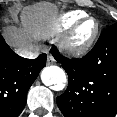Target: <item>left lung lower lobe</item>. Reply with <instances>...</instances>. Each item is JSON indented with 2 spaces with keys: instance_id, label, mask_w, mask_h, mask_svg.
<instances>
[{
  "instance_id": "1",
  "label": "left lung lower lobe",
  "mask_w": 117,
  "mask_h": 117,
  "mask_svg": "<svg viewBox=\"0 0 117 117\" xmlns=\"http://www.w3.org/2000/svg\"><path fill=\"white\" fill-rule=\"evenodd\" d=\"M53 56L69 76L57 97L65 117H114L117 114V23L104 30L93 49L80 59Z\"/></svg>"
}]
</instances>
